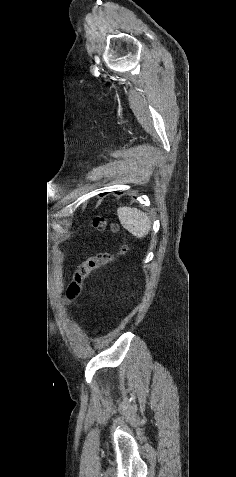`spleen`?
<instances>
[{"label": "spleen", "instance_id": "spleen-1", "mask_svg": "<svg viewBox=\"0 0 236 477\" xmlns=\"http://www.w3.org/2000/svg\"><path fill=\"white\" fill-rule=\"evenodd\" d=\"M117 215L121 225L135 237H145L151 229L149 217L137 208L119 207Z\"/></svg>", "mask_w": 236, "mask_h": 477}]
</instances>
